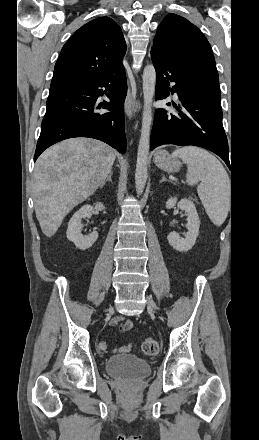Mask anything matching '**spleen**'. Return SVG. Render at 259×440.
Instances as JSON below:
<instances>
[{"instance_id": "3e777b00", "label": "spleen", "mask_w": 259, "mask_h": 440, "mask_svg": "<svg viewBox=\"0 0 259 440\" xmlns=\"http://www.w3.org/2000/svg\"><path fill=\"white\" fill-rule=\"evenodd\" d=\"M173 157L187 164V182H198L197 192L210 220L217 226L225 221L230 208V179L220 161L208 151L187 146L176 149Z\"/></svg>"}]
</instances>
